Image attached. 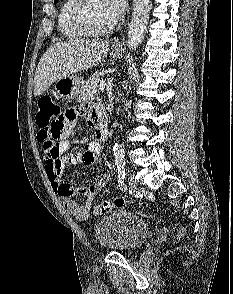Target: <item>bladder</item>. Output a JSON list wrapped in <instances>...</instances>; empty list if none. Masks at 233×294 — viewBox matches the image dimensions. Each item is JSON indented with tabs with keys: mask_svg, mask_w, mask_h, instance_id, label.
I'll return each mask as SVG.
<instances>
[{
	"mask_svg": "<svg viewBox=\"0 0 233 294\" xmlns=\"http://www.w3.org/2000/svg\"><path fill=\"white\" fill-rule=\"evenodd\" d=\"M94 235L99 246L106 250L132 252L144 244L149 228L138 216L118 211L102 218L95 226Z\"/></svg>",
	"mask_w": 233,
	"mask_h": 294,
	"instance_id": "bladder-1",
	"label": "bladder"
}]
</instances>
